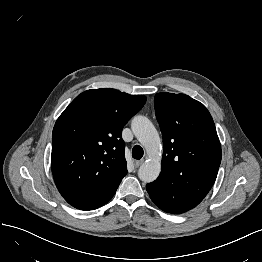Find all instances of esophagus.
Returning <instances> with one entry per match:
<instances>
[{"mask_svg": "<svg viewBox=\"0 0 262 262\" xmlns=\"http://www.w3.org/2000/svg\"><path fill=\"white\" fill-rule=\"evenodd\" d=\"M143 162H144L143 159H141V160H135V161H134V165H135V167H139Z\"/></svg>", "mask_w": 262, "mask_h": 262, "instance_id": "34e87169", "label": "esophagus"}]
</instances>
